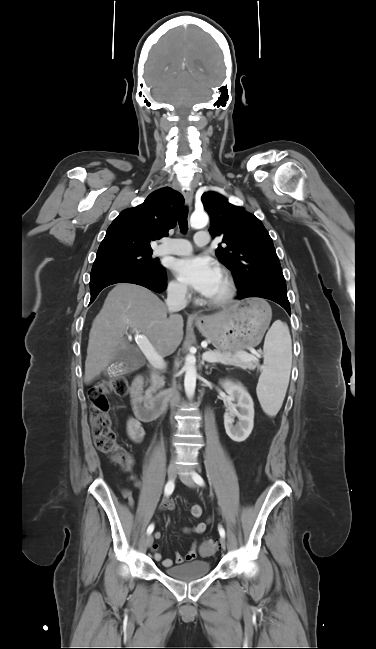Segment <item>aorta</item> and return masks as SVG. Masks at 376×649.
<instances>
[{
  "label": "aorta",
  "instance_id": "1",
  "mask_svg": "<svg viewBox=\"0 0 376 649\" xmlns=\"http://www.w3.org/2000/svg\"><path fill=\"white\" fill-rule=\"evenodd\" d=\"M209 221L205 212H194L190 218L191 227L194 229L204 228ZM185 378L184 388L188 397H193L196 388L197 370L196 358L193 354H188L185 358Z\"/></svg>",
  "mask_w": 376,
  "mask_h": 649
}]
</instances>
